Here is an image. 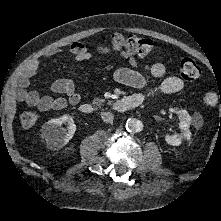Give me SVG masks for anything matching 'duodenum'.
Returning <instances> with one entry per match:
<instances>
[{"instance_id": "1", "label": "duodenum", "mask_w": 221, "mask_h": 221, "mask_svg": "<svg viewBox=\"0 0 221 221\" xmlns=\"http://www.w3.org/2000/svg\"><path fill=\"white\" fill-rule=\"evenodd\" d=\"M144 101V98L140 95H132L124 97L115 101L112 105L113 109L117 112H125L141 105ZM79 110L83 114H93L95 112L94 107L89 103H84L79 107Z\"/></svg>"}]
</instances>
